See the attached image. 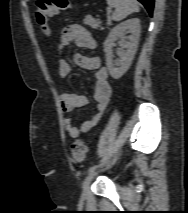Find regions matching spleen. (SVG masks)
<instances>
[{
  "instance_id": "3e777b00",
  "label": "spleen",
  "mask_w": 188,
  "mask_h": 213,
  "mask_svg": "<svg viewBox=\"0 0 188 213\" xmlns=\"http://www.w3.org/2000/svg\"><path fill=\"white\" fill-rule=\"evenodd\" d=\"M109 6L114 7L112 19L120 21L134 12H139V6L136 0H107Z\"/></svg>"
}]
</instances>
